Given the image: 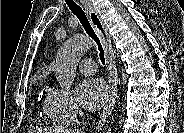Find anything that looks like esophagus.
Instances as JSON below:
<instances>
[{"label":"esophagus","instance_id":"obj_1","mask_svg":"<svg viewBox=\"0 0 184 133\" xmlns=\"http://www.w3.org/2000/svg\"><path fill=\"white\" fill-rule=\"evenodd\" d=\"M79 3L81 4L85 12L89 15L91 23L93 24L96 32L101 37V41L105 49L106 63L108 65L110 98L103 110V113L100 116V120L97 126V128H100L106 122L108 116L111 114L112 109L115 105L114 87L117 81V70L114 62V52H113L111 38L108 32V29L104 24L100 15L98 14L96 8L93 6L92 2L90 0H81Z\"/></svg>","mask_w":184,"mask_h":133}]
</instances>
